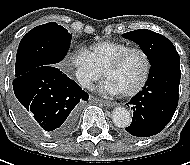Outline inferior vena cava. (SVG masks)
<instances>
[{
	"instance_id": "1",
	"label": "inferior vena cava",
	"mask_w": 190,
	"mask_h": 165,
	"mask_svg": "<svg viewBox=\"0 0 190 165\" xmlns=\"http://www.w3.org/2000/svg\"><path fill=\"white\" fill-rule=\"evenodd\" d=\"M76 76L78 82L81 84L82 87L88 88L90 86V80L87 77L83 76L80 73H76Z\"/></svg>"
}]
</instances>
